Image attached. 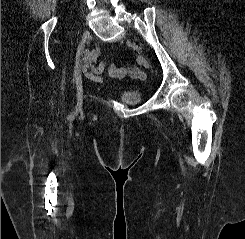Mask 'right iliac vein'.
<instances>
[{"label": "right iliac vein", "mask_w": 245, "mask_h": 239, "mask_svg": "<svg viewBox=\"0 0 245 239\" xmlns=\"http://www.w3.org/2000/svg\"><path fill=\"white\" fill-rule=\"evenodd\" d=\"M90 37V32L88 30H85L83 32L82 35V39H81V44L85 45L87 39ZM76 89H77V93H76V100H77V104H76V108L78 110H81L82 105H83V86H82V76H81V68H79L78 74H77V78H76Z\"/></svg>", "instance_id": "1"}]
</instances>
